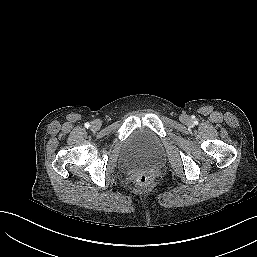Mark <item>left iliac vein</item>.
<instances>
[{
	"label": "left iliac vein",
	"mask_w": 257,
	"mask_h": 257,
	"mask_svg": "<svg viewBox=\"0 0 257 257\" xmlns=\"http://www.w3.org/2000/svg\"><path fill=\"white\" fill-rule=\"evenodd\" d=\"M183 122H184V123H189V118H188V117H184V118H183Z\"/></svg>",
	"instance_id": "1"
}]
</instances>
